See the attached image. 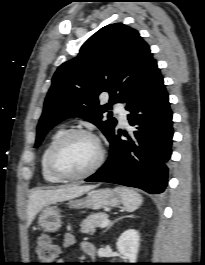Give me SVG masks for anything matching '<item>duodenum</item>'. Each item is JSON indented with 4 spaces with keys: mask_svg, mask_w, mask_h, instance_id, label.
<instances>
[{
    "mask_svg": "<svg viewBox=\"0 0 205 265\" xmlns=\"http://www.w3.org/2000/svg\"><path fill=\"white\" fill-rule=\"evenodd\" d=\"M86 253L90 258L93 259L96 255L95 247L92 244L88 245L86 248Z\"/></svg>",
    "mask_w": 205,
    "mask_h": 265,
    "instance_id": "1",
    "label": "duodenum"
}]
</instances>
